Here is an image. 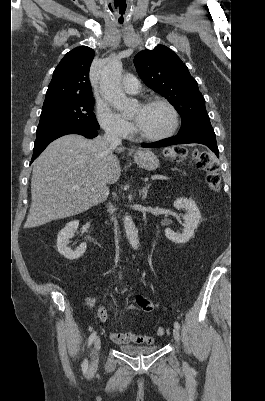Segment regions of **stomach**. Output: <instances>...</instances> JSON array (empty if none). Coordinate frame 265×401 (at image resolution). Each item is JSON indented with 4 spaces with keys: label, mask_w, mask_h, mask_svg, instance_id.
<instances>
[{
    "label": "stomach",
    "mask_w": 265,
    "mask_h": 401,
    "mask_svg": "<svg viewBox=\"0 0 265 401\" xmlns=\"http://www.w3.org/2000/svg\"><path fill=\"white\" fill-rule=\"evenodd\" d=\"M134 160L145 170H155L159 166V158L148 148L146 150H136Z\"/></svg>",
    "instance_id": "obj_1"
}]
</instances>
